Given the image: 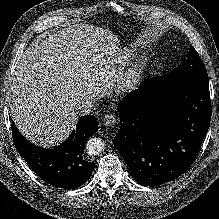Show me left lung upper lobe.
Returning a JSON list of instances; mask_svg holds the SVG:
<instances>
[{"instance_id": "left-lung-upper-lobe-1", "label": "left lung upper lobe", "mask_w": 219, "mask_h": 219, "mask_svg": "<svg viewBox=\"0 0 219 219\" xmlns=\"http://www.w3.org/2000/svg\"><path fill=\"white\" fill-rule=\"evenodd\" d=\"M188 79H202L208 81L205 65L193 47H190L187 53V59L178 67L164 76L153 77L151 81L154 82L156 86H160Z\"/></svg>"}]
</instances>
